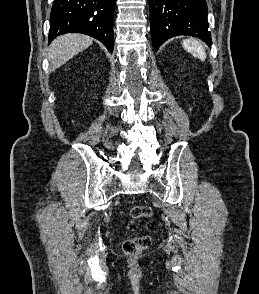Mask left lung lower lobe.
I'll return each instance as SVG.
<instances>
[{
	"label": "left lung lower lobe",
	"instance_id": "left-lung-lower-lobe-1",
	"mask_svg": "<svg viewBox=\"0 0 259 294\" xmlns=\"http://www.w3.org/2000/svg\"><path fill=\"white\" fill-rule=\"evenodd\" d=\"M149 7L155 49L178 35L194 36L211 46L206 0H149Z\"/></svg>",
	"mask_w": 259,
	"mask_h": 294
}]
</instances>
